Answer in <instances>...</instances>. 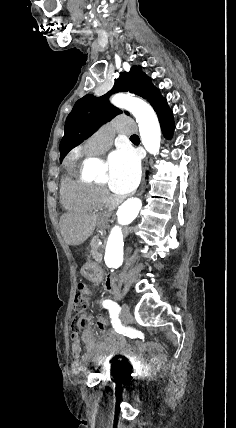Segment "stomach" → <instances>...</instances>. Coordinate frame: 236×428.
Listing matches in <instances>:
<instances>
[{
    "instance_id": "1",
    "label": "stomach",
    "mask_w": 236,
    "mask_h": 428,
    "mask_svg": "<svg viewBox=\"0 0 236 428\" xmlns=\"http://www.w3.org/2000/svg\"><path fill=\"white\" fill-rule=\"evenodd\" d=\"M80 275L82 279H87L88 283H92V285L98 287L103 282L104 272L100 270L98 264H95L92 260H88L85 266H83Z\"/></svg>"
}]
</instances>
